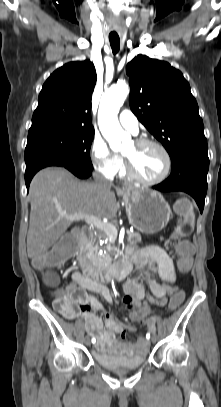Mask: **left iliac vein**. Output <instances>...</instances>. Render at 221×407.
I'll use <instances>...</instances> for the list:
<instances>
[{
	"instance_id": "obj_1",
	"label": "left iliac vein",
	"mask_w": 221,
	"mask_h": 407,
	"mask_svg": "<svg viewBox=\"0 0 221 407\" xmlns=\"http://www.w3.org/2000/svg\"><path fill=\"white\" fill-rule=\"evenodd\" d=\"M156 340H157V337H156L155 334H153V335H152V342H156ZM146 342H147V345H148L149 342H148V341H146Z\"/></svg>"
}]
</instances>
